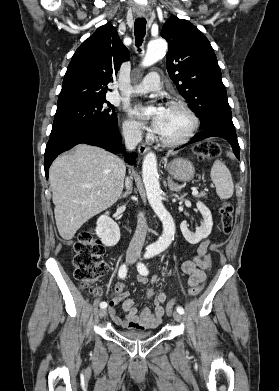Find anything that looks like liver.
<instances>
[{"mask_svg":"<svg viewBox=\"0 0 279 391\" xmlns=\"http://www.w3.org/2000/svg\"><path fill=\"white\" fill-rule=\"evenodd\" d=\"M125 173V163L118 156L86 144L54 160L49 181L63 239L71 240L85 222L117 202Z\"/></svg>","mask_w":279,"mask_h":391,"instance_id":"liver-1","label":"liver"}]
</instances>
